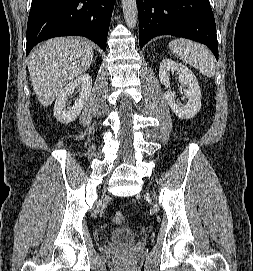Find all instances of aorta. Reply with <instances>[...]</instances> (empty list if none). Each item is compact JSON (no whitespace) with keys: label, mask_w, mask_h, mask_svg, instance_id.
Masks as SVG:
<instances>
[{"label":"aorta","mask_w":253,"mask_h":271,"mask_svg":"<svg viewBox=\"0 0 253 271\" xmlns=\"http://www.w3.org/2000/svg\"><path fill=\"white\" fill-rule=\"evenodd\" d=\"M124 19L128 28L133 29L137 24V3L136 0H121Z\"/></svg>","instance_id":"762f6f07"}]
</instances>
